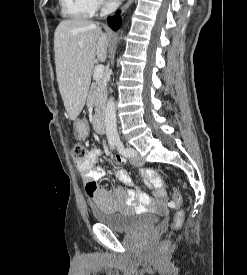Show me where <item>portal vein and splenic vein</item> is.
Returning a JSON list of instances; mask_svg holds the SVG:
<instances>
[{
  "mask_svg": "<svg viewBox=\"0 0 247 275\" xmlns=\"http://www.w3.org/2000/svg\"><path fill=\"white\" fill-rule=\"evenodd\" d=\"M103 74H104V66L103 65L96 66L93 74L94 79L95 80L101 79L103 77Z\"/></svg>",
  "mask_w": 247,
  "mask_h": 275,
  "instance_id": "18ae733b",
  "label": "portal vein and splenic vein"
}]
</instances>
